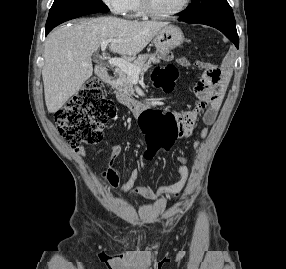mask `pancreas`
Segmentation results:
<instances>
[{
  "label": "pancreas",
  "mask_w": 286,
  "mask_h": 269,
  "mask_svg": "<svg viewBox=\"0 0 286 269\" xmlns=\"http://www.w3.org/2000/svg\"><path fill=\"white\" fill-rule=\"evenodd\" d=\"M159 62V58L154 54H146L138 56L132 64L133 66L138 67L140 69L139 74L143 75L151 67L152 63ZM112 86L116 89L117 99L122 103H125L134 95L132 78L121 69L115 70V79L112 82Z\"/></svg>",
  "instance_id": "1"
}]
</instances>
